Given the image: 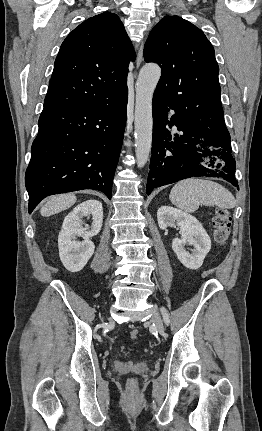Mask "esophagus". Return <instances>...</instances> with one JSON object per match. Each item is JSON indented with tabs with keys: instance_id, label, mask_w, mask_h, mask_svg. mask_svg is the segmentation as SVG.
<instances>
[{
	"instance_id": "esophagus-1",
	"label": "esophagus",
	"mask_w": 262,
	"mask_h": 431,
	"mask_svg": "<svg viewBox=\"0 0 262 431\" xmlns=\"http://www.w3.org/2000/svg\"><path fill=\"white\" fill-rule=\"evenodd\" d=\"M142 57H143V45L140 46L139 51H138V57H137V67L140 66L141 62H142Z\"/></svg>"
}]
</instances>
